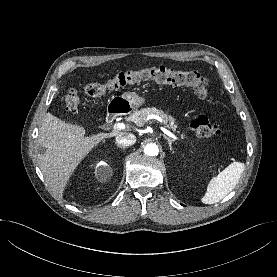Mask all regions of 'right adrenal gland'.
<instances>
[{"label":"right adrenal gland","mask_w":277,"mask_h":277,"mask_svg":"<svg viewBox=\"0 0 277 277\" xmlns=\"http://www.w3.org/2000/svg\"><path fill=\"white\" fill-rule=\"evenodd\" d=\"M115 144L117 145V147H119L121 149H125L126 148V146H122V145L118 144L117 142H115Z\"/></svg>","instance_id":"right-adrenal-gland-1"}]
</instances>
